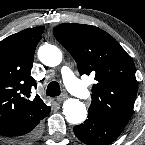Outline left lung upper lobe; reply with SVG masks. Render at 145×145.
Masks as SVG:
<instances>
[{"label":"left lung upper lobe","mask_w":145,"mask_h":145,"mask_svg":"<svg viewBox=\"0 0 145 145\" xmlns=\"http://www.w3.org/2000/svg\"><path fill=\"white\" fill-rule=\"evenodd\" d=\"M53 33L75 59L80 74L96 80L88 113L124 126L137 94L131 57L111 35L95 26L64 23Z\"/></svg>","instance_id":"obj_1"}]
</instances>
